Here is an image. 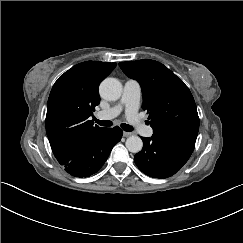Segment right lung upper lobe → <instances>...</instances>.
Masks as SVG:
<instances>
[{"mask_svg": "<svg viewBox=\"0 0 243 243\" xmlns=\"http://www.w3.org/2000/svg\"><path fill=\"white\" fill-rule=\"evenodd\" d=\"M116 63L87 61L62 74L52 87L46 115V133L61 165L103 128L88 118L100 102V82Z\"/></svg>", "mask_w": 243, "mask_h": 243, "instance_id": "obj_1", "label": "right lung upper lobe"}]
</instances>
